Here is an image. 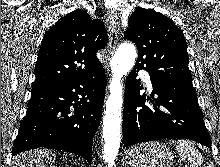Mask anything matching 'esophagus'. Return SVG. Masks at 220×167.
Returning a JSON list of instances; mask_svg holds the SVG:
<instances>
[{
    "mask_svg": "<svg viewBox=\"0 0 220 167\" xmlns=\"http://www.w3.org/2000/svg\"><path fill=\"white\" fill-rule=\"evenodd\" d=\"M106 24L108 25V29L110 32V39L107 45V51L104 62L105 64H108V62L110 61L111 57L115 52L118 43V38L120 35V26L118 23V18L115 13L113 12L107 13Z\"/></svg>",
    "mask_w": 220,
    "mask_h": 167,
    "instance_id": "obj_1",
    "label": "esophagus"
}]
</instances>
